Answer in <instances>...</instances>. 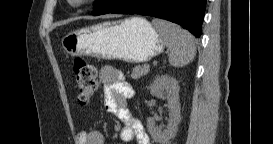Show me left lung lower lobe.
Masks as SVG:
<instances>
[{"label": "left lung lower lobe", "mask_w": 273, "mask_h": 144, "mask_svg": "<svg viewBox=\"0 0 273 144\" xmlns=\"http://www.w3.org/2000/svg\"><path fill=\"white\" fill-rule=\"evenodd\" d=\"M206 0H110L94 16L107 13L154 16L181 25L196 37L201 35Z\"/></svg>", "instance_id": "left-lung-lower-lobe-1"}]
</instances>
